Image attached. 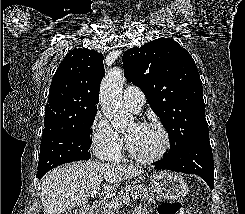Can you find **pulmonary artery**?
Returning a JSON list of instances; mask_svg holds the SVG:
<instances>
[{
    "instance_id": "pulmonary-artery-1",
    "label": "pulmonary artery",
    "mask_w": 245,
    "mask_h": 214,
    "mask_svg": "<svg viewBox=\"0 0 245 214\" xmlns=\"http://www.w3.org/2000/svg\"><path fill=\"white\" fill-rule=\"evenodd\" d=\"M145 101V96L142 90L136 86H128L123 92V102L126 107L137 112Z\"/></svg>"
}]
</instances>
